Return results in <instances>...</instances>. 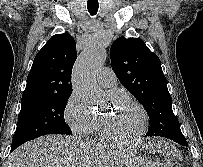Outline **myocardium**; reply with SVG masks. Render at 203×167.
Here are the masks:
<instances>
[{
    "mask_svg": "<svg viewBox=\"0 0 203 167\" xmlns=\"http://www.w3.org/2000/svg\"><path fill=\"white\" fill-rule=\"evenodd\" d=\"M110 95L112 97L115 98H122L124 100H126L127 102H129L130 104H132L134 107H136L140 114H141V118H142V122H141V127L138 130V132L133 135L132 137L129 138H122V137H118L116 135H114L108 128L107 122L105 120V118L103 117H99V126H100V132L102 134V136L114 143H119V144H128V143H133L138 141L146 132L147 130V126H148V114L146 109L144 108V106L139 103L137 100H135L134 98H132L130 95H128L127 93L123 92V91H113L110 93Z\"/></svg>",
    "mask_w": 203,
    "mask_h": 167,
    "instance_id": "myocardium-1",
    "label": "myocardium"
}]
</instances>
